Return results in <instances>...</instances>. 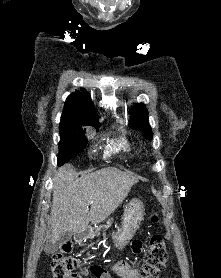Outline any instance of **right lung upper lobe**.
<instances>
[{"instance_id": "cb5924a9", "label": "right lung upper lobe", "mask_w": 221, "mask_h": 278, "mask_svg": "<svg viewBox=\"0 0 221 278\" xmlns=\"http://www.w3.org/2000/svg\"><path fill=\"white\" fill-rule=\"evenodd\" d=\"M61 120L99 125L94 105L85 89L81 88V93L76 91L67 97Z\"/></svg>"}]
</instances>
